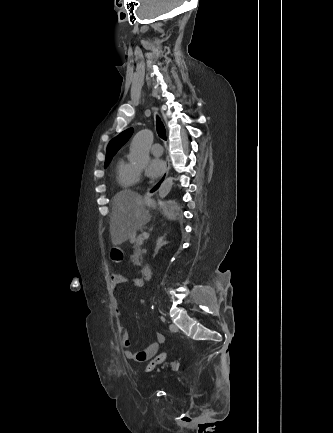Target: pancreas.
<instances>
[{
    "label": "pancreas",
    "mask_w": 333,
    "mask_h": 433,
    "mask_svg": "<svg viewBox=\"0 0 333 433\" xmlns=\"http://www.w3.org/2000/svg\"><path fill=\"white\" fill-rule=\"evenodd\" d=\"M138 237H132L130 239V242L133 244V249H134V255L133 258L136 259L135 264L140 265V263L142 262V251H141V244L138 242ZM137 257H139V259L137 260Z\"/></svg>",
    "instance_id": "obj_1"
}]
</instances>
